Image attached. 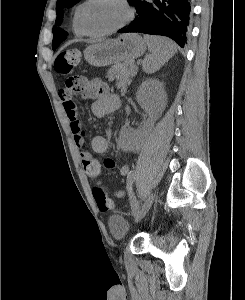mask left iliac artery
I'll return each mask as SVG.
<instances>
[{
    "label": "left iliac artery",
    "instance_id": "1",
    "mask_svg": "<svg viewBox=\"0 0 245 300\" xmlns=\"http://www.w3.org/2000/svg\"><path fill=\"white\" fill-rule=\"evenodd\" d=\"M135 179H136V174L131 173L128 177V184H127L128 188L132 187V183L134 182ZM130 200H131V206H132V213H133V215H136L139 212V202L135 199L134 196H130Z\"/></svg>",
    "mask_w": 245,
    "mask_h": 300
}]
</instances>
